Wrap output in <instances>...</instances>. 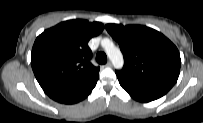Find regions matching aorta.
<instances>
[{"instance_id": "762f6f07", "label": "aorta", "mask_w": 203, "mask_h": 123, "mask_svg": "<svg viewBox=\"0 0 203 123\" xmlns=\"http://www.w3.org/2000/svg\"><path fill=\"white\" fill-rule=\"evenodd\" d=\"M102 45L105 52L116 69H121L123 67V55L119 48H117L110 40H102Z\"/></svg>"}]
</instances>
